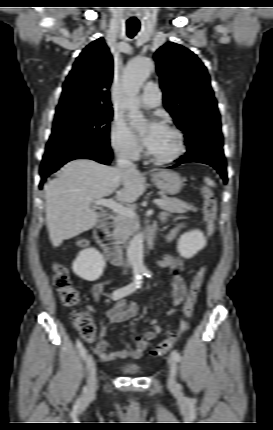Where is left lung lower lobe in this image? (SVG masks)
I'll return each instance as SVG.
<instances>
[{"label":"left lung lower lobe","instance_id":"obj_1","mask_svg":"<svg viewBox=\"0 0 273 430\" xmlns=\"http://www.w3.org/2000/svg\"><path fill=\"white\" fill-rule=\"evenodd\" d=\"M185 144L188 146V151L175 161L178 163L173 167L187 162L208 164L220 173L225 183L228 181L222 150V134L218 130L203 127L194 134V138L186 139Z\"/></svg>","mask_w":273,"mask_h":430}]
</instances>
